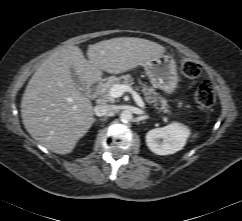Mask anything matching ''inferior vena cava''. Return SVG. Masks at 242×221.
Returning <instances> with one entry per match:
<instances>
[{"label": "inferior vena cava", "mask_w": 242, "mask_h": 221, "mask_svg": "<svg viewBox=\"0 0 242 221\" xmlns=\"http://www.w3.org/2000/svg\"><path fill=\"white\" fill-rule=\"evenodd\" d=\"M114 110V107L112 105L107 104H98L94 107V113L98 117L106 116L112 113Z\"/></svg>", "instance_id": "1"}]
</instances>
